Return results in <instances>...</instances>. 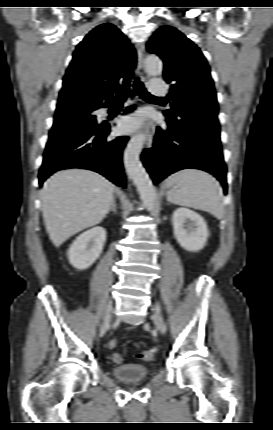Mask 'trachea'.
Listing matches in <instances>:
<instances>
[{
    "label": "trachea",
    "mask_w": 273,
    "mask_h": 430,
    "mask_svg": "<svg viewBox=\"0 0 273 430\" xmlns=\"http://www.w3.org/2000/svg\"><path fill=\"white\" fill-rule=\"evenodd\" d=\"M134 79L133 87L136 91V93L144 100H159L163 99L160 97H155L147 92V90L144 87V84L137 78L133 76V72L130 68L126 69V76L124 78L123 84L119 89L113 90V92L116 94V100L117 101H123L125 100L129 95V86L131 80Z\"/></svg>",
    "instance_id": "1"
}]
</instances>
